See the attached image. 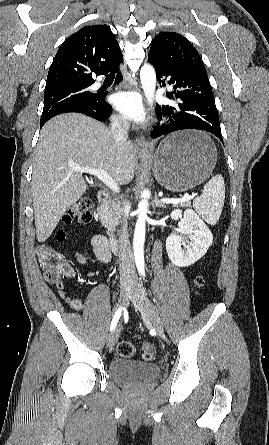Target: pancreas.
Instances as JSON below:
<instances>
[{
  "label": "pancreas",
  "instance_id": "pancreas-1",
  "mask_svg": "<svg viewBox=\"0 0 269 445\" xmlns=\"http://www.w3.org/2000/svg\"><path fill=\"white\" fill-rule=\"evenodd\" d=\"M183 206L190 207L191 203L186 202ZM98 212L100 214L101 222L108 229L109 234L111 232V236H113L112 233L121 221L123 215L121 202L115 199L108 200L99 208Z\"/></svg>",
  "mask_w": 269,
  "mask_h": 445
}]
</instances>
